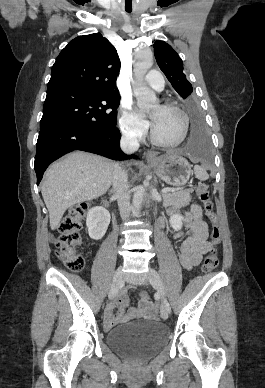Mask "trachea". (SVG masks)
I'll return each mask as SVG.
<instances>
[{"mask_svg": "<svg viewBox=\"0 0 265 388\" xmlns=\"http://www.w3.org/2000/svg\"><path fill=\"white\" fill-rule=\"evenodd\" d=\"M126 12L130 13V12H131V10H126Z\"/></svg>", "mask_w": 265, "mask_h": 388, "instance_id": "trachea-1", "label": "trachea"}]
</instances>
